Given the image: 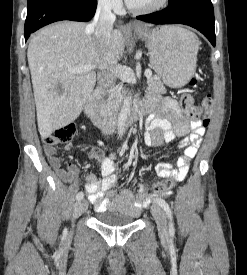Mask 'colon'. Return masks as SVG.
Masks as SVG:
<instances>
[{
	"label": "colon",
	"mask_w": 247,
	"mask_h": 275,
	"mask_svg": "<svg viewBox=\"0 0 247 275\" xmlns=\"http://www.w3.org/2000/svg\"><path fill=\"white\" fill-rule=\"evenodd\" d=\"M190 85L196 84V79L192 78L189 82ZM181 105L184 109L186 115L191 119H197L202 114V109L198 106L194 105V98L190 94H185L181 98ZM203 124L207 126L210 121L211 113H212V106H213V99L210 95L206 96L203 99ZM77 127L74 124H67L56 129L52 134L46 136L44 138V143L46 145L54 146L57 144H64L72 140L77 135ZM174 185L173 179H167L161 183H157L152 187V191L156 194H164L169 192Z\"/></svg>",
	"instance_id": "5ec220e1"
}]
</instances>
